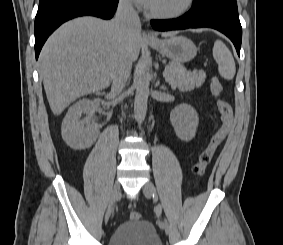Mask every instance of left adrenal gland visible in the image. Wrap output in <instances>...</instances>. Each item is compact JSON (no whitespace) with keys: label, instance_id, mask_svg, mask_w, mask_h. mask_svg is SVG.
Listing matches in <instances>:
<instances>
[{"label":"left adrenal gland","instance_id":"a2214340","mask_svg":"<svg viewBox=\"0 0 283 245\" xmlns=\"http://www.w3.org/2000/svg\"><path fill=\"white\" fill-rule=\"evenodd\" d=\"M160 89H162V90H166L167 88H166L165 86H163V85H162V86L160 87Z\"/></svg>","mask_w":283,"mask_h":245}]
</instances>
